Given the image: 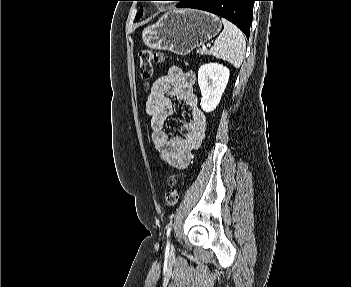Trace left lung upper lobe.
<instances>
[{"instance_id": "5c2ea615", "label": "left lung upper lobe", "mask_w": 351, "mask_h": 287, "mask_svg": "<svg viewBox=\"0 0 351 287\" xmlns=\"http://www.w3.org/2000/svg\"><path fill=\"white\" fill-rule=\"evenodd\" d=\"M175 1H181V0H175ZM142 15H143V9L141 8L139 10L138 14L136 15V18H140V17H142Z\"/></svg>"}]
</instances>
